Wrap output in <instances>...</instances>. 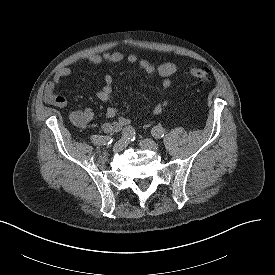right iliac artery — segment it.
I'll return each mask as SVG.
<instances>
[{
	"instance_id": "1",
	"label": "right iliac artery",
	"mask_w": 275,
	"mask_h": 275,
	"mask_svg": "<svg viewBox=\"0 0 275 275\" xmlns=\"http://www.w3.org/2000/svg\"><path fill=\"white\" fill-rule=\"evenodd\" d=\"M122 135L124 136V138L134 139L135 130L133 129V127L128 126L123 129ZM91 140L94 144H97V145H107V144L109 145V144H112L114 141L111 136H97V135H93L91 137Z\"/></svg>"
}]
</instances>
